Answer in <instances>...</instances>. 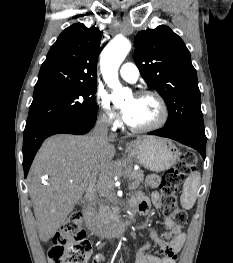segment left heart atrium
Listing matches in <instances>:
<instances>
[{
	"label": "left heart atrium",
	"mask_w": 233,
	"mask_h": 263,
	"mask_svg": "<svg viewBox=\"0 0 233 263\" xmlns=\"http://www.w3.org/2000/svg\"><path fill=\"white\" fill-rule=\"evenodd\" d=\"M122 118L127 124H130V122L132 120V110L131 109H124L122 112Z\"/></svg>",
	"instance_id": "obj_1"
}]
</instances>
